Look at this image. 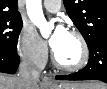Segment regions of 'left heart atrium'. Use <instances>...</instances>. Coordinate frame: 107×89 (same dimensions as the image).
<instances>
[{
    "label": "left heart atrium",
    "mask_w": 107,
    "mask_h": 89,
    "mask_svg": "<svg viewBox=\"0 0 107 89\" xmlns=\"http://www.w3.org/2000/svg\"><path fill=\"white\" fill-rule=\"evenodd\" d=\"M66 34H67V31L63 26L58 25L56 27L49 41L50 46L54 51L59 47L62 39L65 37Z\"/></svg>",
    "instance_id": "obj_1"
}]
</instances>
